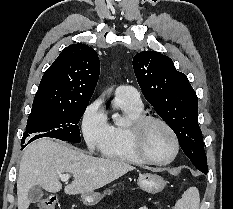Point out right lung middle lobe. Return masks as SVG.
<instances>
[{"label": "right lung middle lobe", "mask_w": 233, "mask_h": 209, "mask_svg": "<svg viewBox=\"0 0 233 209\" xmlns=\"http://www.w3.org/2000/svg\"><path fill=\"white\" fill-rule=\"evenodd\" d=\"M88 104H81L69 109L32 108L22 144L41 137H52L63 141L80 143L78 123ZM42 134H33L40 133ZM26 145L23 146V148Z\"/></svg>", "instance_id": "1"}]
</instances>
